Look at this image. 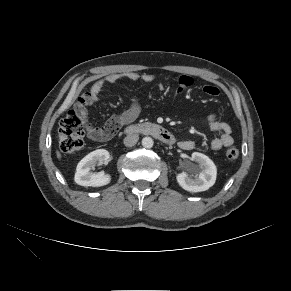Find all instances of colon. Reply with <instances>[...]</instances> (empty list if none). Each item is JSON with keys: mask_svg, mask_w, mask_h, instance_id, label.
Wrapping results in <instances>:
<instances>
[{"mask_svg": "<svg viewBox=\"0 0 291 291\" xmlns=\"http://www.w3.org/2000/svg\"><path fill=\"white\" fill-rule=\"evenodd\" d=\"M92 103L89 93L83 94L78 99V106L70 110L62 119L59 127V145L64 153H75L84 144V136L88 131V124L84 108ZM120 127L116 118H111L106 124L109 134L114 135ZM226 159L235 161L239 157V150L231 146L226 150Z\"/></svg>", "mask_w": 291, "mask_h": 291, "instance_id": "5ec220e1", "label": "colon"}]
</instances>
